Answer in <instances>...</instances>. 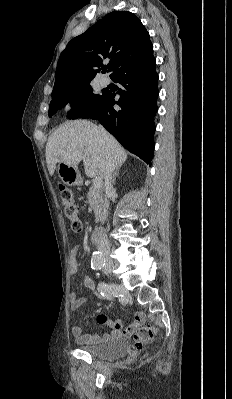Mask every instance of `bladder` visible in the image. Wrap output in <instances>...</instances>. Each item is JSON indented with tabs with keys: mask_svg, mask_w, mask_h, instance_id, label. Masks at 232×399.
Returning a JSON list of instances; mask_svg holds the SVG:
<instances>
[{
	"mask_svg": "<svg viewBox=\"0 0 232 399\" xmlns=\"http://www.w3.org/2000/svg\"><path fill=\"white\" fill-rule=\"evenodd\" d=\"M78 349L98 359L116 360L126 356L130 346L127 340L115 338L103 343L81 345Z\"/></svg>",
	"mask_w": 232,
	"mask_h": 399,
	"instance_id": "bladder-1",
	"label": "bladder"
}]
</instances>
